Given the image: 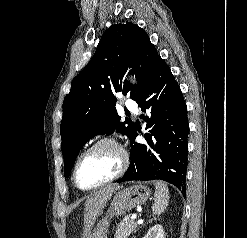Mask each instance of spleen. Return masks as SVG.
<instances>
[{
	"mask_svg": "<svg viewBox=\"0 0 247 238\" xmlns=\"http://www.w3.org/2000/svg\"><path fill=\"white\" fill-rule=\"evenodd\" d=\"M155 202L152 206L153 214L159 215L166 209L169 202V190L162 181H155Z\"/></svg>",
	"mask_w": 247,
	"mask_h": 238,
	"instance_id": "3e777b00",
	"label": "spleen"
}]
</instances>
